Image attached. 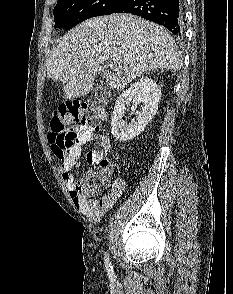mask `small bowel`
Wrapping results in <instances>:
<instances>
[{
    "label": "small bowel",
    "instance_id": "1",
    "mask_svg": "<svg viewBox=\"0 0 233 294\" xmlns=\"http://www.w3.org/2000/svg\"><path fill=\"white\" fill-rule=\"evenodd\" d=\"M75 134L73 146L68 150L66 157L59 165L61 178L69 189L74 204L80 209L89 220L97 222L104 213L109 210L119 199L125 190V181L121 178L115 179L108 192L99 199H92L80 195L77 192V184L71 172L72 169L80 165L82 147L90 142H97L100 147L99 151L88 152L86 158L90 164L98 165L99 161L113 152V146L107 136L98 135L90 126L78 125L72 128Z\"/></svg>",
    "mask_w": 233,
    "mask_h": 294
}]
</instances>
